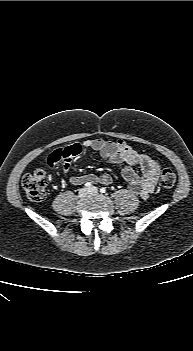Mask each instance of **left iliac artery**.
Returning <instances> with one entry per match:
<instances>
[{"label":"left iliac artery","instance_id":"44dca946","mask_svg":"<svg viewBox=\"0 0 193 351\" xmlns=\"http://www.w3.org/2000/svg\"><path fill=\"white\" fill-rule=\"evenodd\" d=\"M100 192L101 193H105L106 192V188H104V187L100 188Z\"/></svg>","mask_w":193,"mask_h":351}]
</instances>
